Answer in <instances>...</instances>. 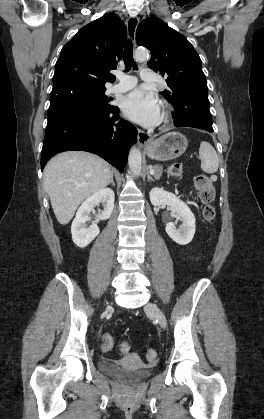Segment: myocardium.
<instances>
[{
  "label": "myocardium",
  "mask_w": 264,
  "mask_h": 419,
  "mask_svg": "<svg viewBox=\"0 0 264 419\" xmlns=\"http://www.w3.org/2000/svg\"><path fill=\"white\" fill-rule=\"evenodd\" d=\"M171 116V107L167 103L162 104V119L163 121H166Z\"/></svg>",
  "instance_id": "f54148a6"
}]
</instances>
